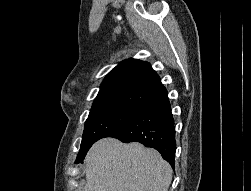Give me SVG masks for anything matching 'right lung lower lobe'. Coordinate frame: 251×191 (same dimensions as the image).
I'll list each match as a JSON object with an SVG mask.
<instances>
[{"mask_svg": "<svg viewBox=\"0 0 251 191\" xmlns=\"http://www.w3.org/2000/svg\"><path fill=\"white\" fill-rule=\"evenodd\" d=\"M107 137L117 138L125 143L140 142L146 147L154 148L174 168L175 127L167 93Z\"/></svg>", "mask_w": 251, "mask_h": 191, "instance_id": "right-lung-lower-lobe-1", "label": "right lung lower lobe"}]
</instances>
